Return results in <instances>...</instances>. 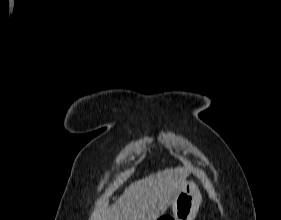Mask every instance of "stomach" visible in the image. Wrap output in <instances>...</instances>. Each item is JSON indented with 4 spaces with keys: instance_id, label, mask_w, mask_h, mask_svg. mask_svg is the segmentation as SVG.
<instances>
[{
    "instance_id": "stomach-1",
    "label": "stomach",
    "mask_w": 281,
    "mask_h": 220,
    "mask_svg": "<svg viewBox=\"0 0 281 220\" xmlns=\"http://www.w3.org/2000/svg\"><path fill=\"white\" fill-rule=\"evenodd\" d=\"M201 201L202 196L196 184L193 181H186L172 202L173 216L166 219L194 220Z\"/></svg>"
}]
</instances>
